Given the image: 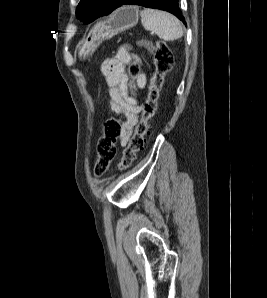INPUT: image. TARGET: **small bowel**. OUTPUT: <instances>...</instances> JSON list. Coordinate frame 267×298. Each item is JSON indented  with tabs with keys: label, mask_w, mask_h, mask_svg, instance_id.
Segmentation results:
<instances>
[{
	"label": "small bowel",
	"mask_w": 267,
	"mask_h": 298,
	"mask_svg": "<svg viewBox=\"0 0 267 298\" xmlns=\"http://www.w3.org/2000/svg\"><path fill=\"white\" fill-rule=\"evenodd\" d=\"M133 60H138L136 55L126 48H119L113 57L107 58L101 65V72L108 87L107 102L113 113L107 120L114 119L117 122L119 137L123 144L130 138L142 110L139 101L129 94V76L126 67ZM146 83V75L139 74L136 78L137 87L144 89Z\"/></svg>",
	"instance_id": "1"
}]
</instances>
